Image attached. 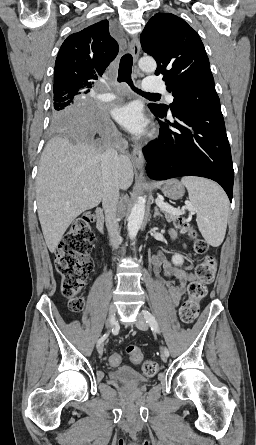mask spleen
<instances>
[{"label":"spleen","mask_w":256,"mask_h":445,"mask_svg":"<svg viewBox=\"0 0 256 445\" xmlns=\"http://www.w3.org/2000/svg\"><path fill=\"white\" fill-rule=\"evenodd\" d=\"M181 183L187 188L189 200L197 212V225L204 239L213 247L224 240L229 200L223 189L211 180L186 176Z\"/></svg>","instance_id":"3e777b00"}]
</instances>
